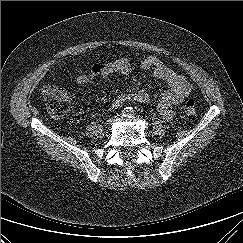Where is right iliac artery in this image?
Wrapping results in <instances>:
<instances>
[{
  "instance_id": "right-iliac-artery-1",
  "label": "right iliac artery",
  "mask_w": 243,
  "mask_h": 243,
  "mask_svg": "<svg viewBox=\"0 0 243 243\" xmlns=\"http://www.w3.org/2000/svg\"><path fill=\"white\" fill-rule=\"evenodd\" d=\"M129 114V109L125 108L122 112H121V117H127Z\"/></svg>"
}]
</instances>
